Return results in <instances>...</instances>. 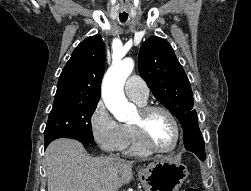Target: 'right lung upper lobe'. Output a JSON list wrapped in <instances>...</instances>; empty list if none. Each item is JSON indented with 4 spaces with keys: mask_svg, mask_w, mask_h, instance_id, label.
Segmentation results:
<instances>
[{
    "mask_svg": "<svg viewBox=\"0 0 251 191\" xmlns=\"http://www.w3.org/2000/svg\"><path fill=\"white\" fill-rule=\"evenodd\" d=\"M105 69V49L100 35L88 37L73 51L62 70L53 106L98 103Z\"/></svg>",
    "mask_w": 251,
    "mask_h": 191,
    "instance_id": "right-lung-upper-lobe-1",
    "label": "right lung upper lobe"
}]
</instances>
